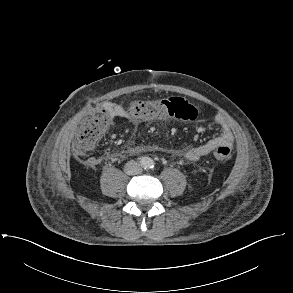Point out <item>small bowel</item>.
<instances>
[{
  "instance_id": "obj_1",
  "label": "small bowel",
  "mask_w": 293,
  "mask_h": 293,
  "mask_svg": "<svg viewBox=\"0 0 293 293\" xmlns=\"http://www.w3.org/2000/svg\"><path fill=\"white\" fill-rule=\"evenodd\" d=\"M104 109L109 112V114L116 119H128L131 121H135L133 117L130 116L128 111L114 103H106ZM217 124L220 126V135L216 138L210 139L202 145L192 147L185 152H183V156L190 161H199L203 159L206 155H208L216 144H225L227 146H232L234 141V136L231 131L230 126L222 119H217ZM88 163L91 165H95L97 163L96 158H90Z\"/></svg>"
}]
</instances>
